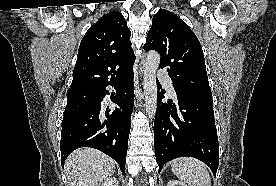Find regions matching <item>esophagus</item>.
Listing matches in <instances>:
<instances>
[{"label":"esophagus","instance_id":"34e87169","mask_svg":"<svg viewBox=\"0 0 276 186\" xmlns=\"http://www.w3.org/2000/svg\"><path fill=\"white\" fill-rule=\"evenodd\" d=\"M141 64H142V65L144 64V56H142Z\"/></svg>","mask_w":276,"mask_h":186}]
</instances>
